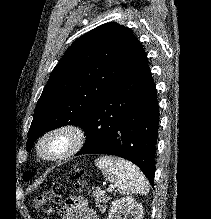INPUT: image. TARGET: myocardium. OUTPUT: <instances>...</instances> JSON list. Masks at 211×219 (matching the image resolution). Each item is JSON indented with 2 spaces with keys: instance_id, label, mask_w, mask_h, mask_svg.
I'll return each mask as SVG.
<instances>
[{
  "instance_id": "myocardium-1",
  "label": "myocardium",
  "mask_w": 211,
  "mask_h": 219,
  "mask_svg": "<svg viewBox=\"0 0 211 219\" xmlns=\"http://www.w3.org/2000/svg\"><path fill=\"white\" fill-rule=\"evenodd\" d=\"M85 130L74 123H65L52 127L42 133L34 146L38 161L53 164L75 156L85 145ZM55 149H50L52 145Z\"/></svg>"
}]
</instances>
